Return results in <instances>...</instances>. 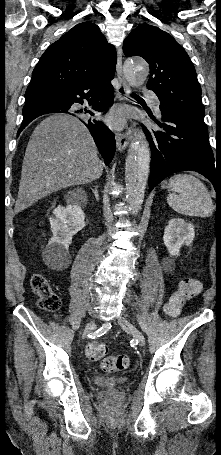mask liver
Returning a JSON list of instances; mask_svg holds the SVG:
<instances>
[{
  "label": "liver",
  "mask_w": 221,
  "mask_h": 455,
  "mask_svg": "<svg viewBox=\"0 0 221 455\" xmlns=\"http://www.w3.org/2000/svg\"><path fill=\"white\" fill-rule=\"evenodd\" d=\"M102 171L85 125L70 115H51L29 139L14 211L19 213L59 189L96 180Z\"/></svg>",
  "instance_id": "obj_1"
}]
</instances>
